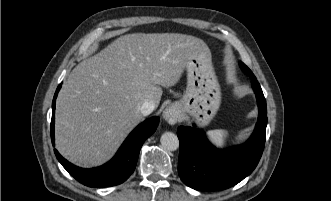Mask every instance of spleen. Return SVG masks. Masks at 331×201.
<instances>
[{"label": "spleen", "instance_id": "1", "mask_svg": "<svg viewBox=\"0 0 331 201\" xmlns=\"http://www.w3.org/2000/svg\"><path fill=\"white\" fill-rule=\"evenodd\" d=\"M209 140L217 147H223L228 138V131L223 129L210 130L206 133Z\"/></svg>", "mask_w": 331, "mask_h": 201}]
</instances>
